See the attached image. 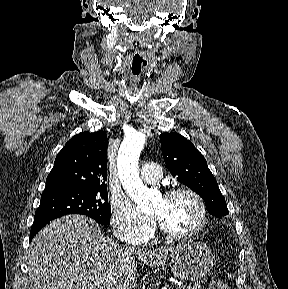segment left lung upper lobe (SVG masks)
<instances>
[{
	"mask_svg": "<svg viewBox=\"0 0 288 289\" xmlns=\"http://www.w3.org/2000/svg\"><path fill=\"white\" fill-rule=\"evenodd\" d=\"M162 154L170 173L202 197L208 212L218 218L228 214L226 201L203 155L179 133L160 135Z\"/></svg>",
	"mask_w": 288,
	"mask_h": 289,
	"instance_id": "1",
	"label": "left lung upper lobe"
}]
</instances>
